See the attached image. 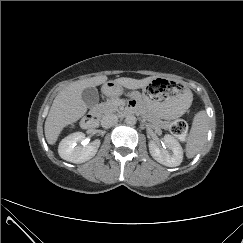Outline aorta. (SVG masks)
I'll return each mask as SVG.
<instances>
[{
  "instance_id": "aorta-1",
  "label": "aorta",
  "mask_w": 243,
  "mask_h": 243,
  "mask_svg": "<svg viewBox=\"0 0 243 243\" xmlns=\"http://www.w3.org/2000/svg\"><path fill=\"white\" fill-rule=\"evenodd\" d=\"M137 122V119L134 115H127L125 118V123L129 126L135 125Z\"/></svg>"
}]
</instances>
